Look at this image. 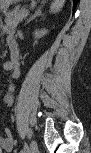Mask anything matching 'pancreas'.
Returning a JSON list of instances; mask_svg holds the SVG:
<instances>
[{"label": "pancreas", "instance_id": "pancreas-1", "mask_svg": "<svg viewBox=\"0 0 91 153\" xmlns=\"http://www.w3.org/2000/svg\"><path fill=\"white\" fill-rule=\"evenodd\" d=\"M25 12V10H21L18 13L14 12L12 15H7L5 19L6 27L15 30L17 24L24 19L25 16L23 15Z\"/></svg>", "mask_w": 91, "mask_h": 153}]
</instances>
